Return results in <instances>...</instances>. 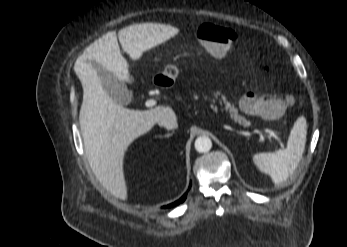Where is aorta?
<instances>
[{
  "instance_id": "1",
  "label": "aorta",
  "mask_w": 347,
  "mask_h": 247,
  "mask_svg": "<svg viewBox=\"0 0 347 247\" xmlns=\"http://www.w3.org/2000/svg\"><path fill=\"white\" fill-rule=\"evenodd\" d=\"M195 149L199 153H207L212 147V141L207 136H200L195 141Z\"/></svg>"
}]
</instances>
